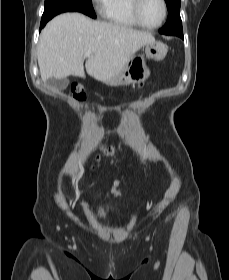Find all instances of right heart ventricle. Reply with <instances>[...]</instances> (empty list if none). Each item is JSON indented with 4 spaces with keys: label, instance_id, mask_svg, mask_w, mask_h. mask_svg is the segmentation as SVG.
<instances>
[{
    "label": "right heart ventricle",
    "instance_id": "obj_1",
    "mask_svg": "<svg viewBox=\"0 0 229 280\" xmlns=\"http://www.w3.org/2000/svg\"><path fill=\"white\" fill-rule=\"evenodd\" d=\"M132 0H108L102 12L104 20L122 28H138L131 12Z\"/></svg>",
    "mask_w": 229,
    "mask_h": 280
}]
</instances>
